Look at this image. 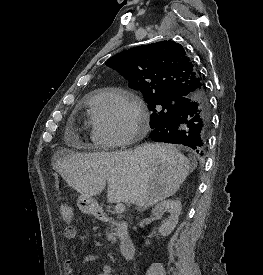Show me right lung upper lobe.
<instances>
[{
    "mask_svg": "<svg viewBox=\"0 0 263 275\" xmlns=\"http://www.w3.org/2000/svg\"><path fill=\"white\" fill-rule=\"evenodd\" d=\"M144 97L190 99L204 85L182 45L161 41L125 50L107 61Z\"/></svg>",
    "mask_w": 263,
    "mask_h": 275,
    "instance_id": "cb5924a9",
    "label": "right lung upper lobe"
}]
</instances>
